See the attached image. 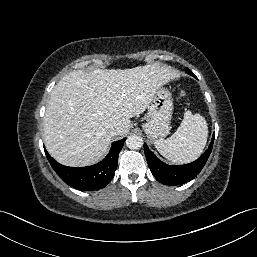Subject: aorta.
<instances>
[{"mask_svg": "<svg viewBox=\"0 0 257 257\" xmlns=\"http://www.w3.org/2000/svg\"><path fill=\"white\" fill-rule=\"evenodd\" d=\"M126 146L129 149H140L143 146V139L138 135H130L126 139Z\"/></svg>", "mask_w": 257, "mask_h": 257, "instance_id": "obj_1", "label": "aorta"}]
</instances>
